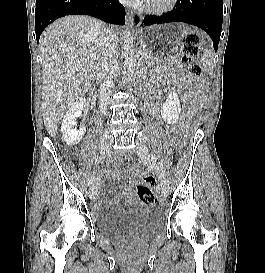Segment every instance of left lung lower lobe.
Listing matches in <instances>:
<instances>
[{"instance_id": "1", "label": "left lung lower lobe", "mask_w": 265, "mask_h": 273, "mask_svg": "<svg viewBox=\"0 0 265 273\" xmlns=\"http://www.w3.org/2000/svg\"><path fill=\"white\" fill-rule=\"evenodd\" d=\"M223 19L222 0H178L176 8L162 16H145L141 26L185 22L200 27L210 35L217 51Z\"/></svg>"}]
</instances>
